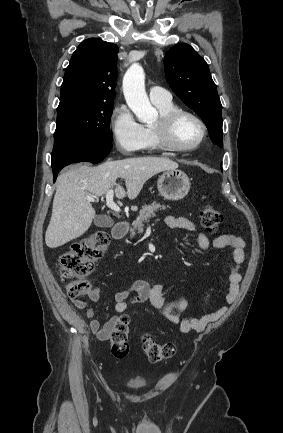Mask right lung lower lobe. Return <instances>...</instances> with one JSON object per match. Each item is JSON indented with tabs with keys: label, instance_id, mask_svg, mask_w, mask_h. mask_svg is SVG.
Returning <instances> with one entry per match:
<instances>
[{
	"label": "right lung lower lobe",
	"instance_id": "98d812e1",
	"mask_svg": "<svg viewBox=\"0 0 283 433\" xmlns=\"http://www.w3.org/2000/svg\"><path fill=\"white\" fill-rule=\"evenodd\" d=\"M112 144L99 145L74 139L54 141L52 152V170L54 182L59 171L75 162L99 163L111 151Z\"/></svg>",
	"mask_w": 283,
	"mask_h": 433
}]
</instances>
